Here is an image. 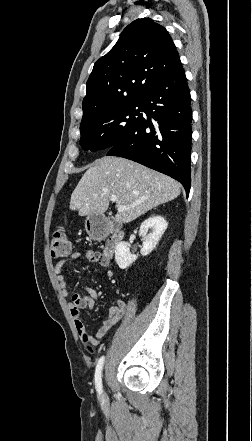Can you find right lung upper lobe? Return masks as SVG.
Here are the masks:
<instances>
[{
  "label": "right lung upper lobe",
  "mask_w": 252,
  "mask_h": 441,
  "mask_svg": "<svg viewBox=\"0 0 252 441\" xmlns=\"http://www.w3.org/2000/svg\"><path fill=\"white\" fill-rule=\"evenodd\" d=\"M180 62L168 31L150 18L129 24L114 47L96 61L86 85L82 122L141 100Z\"/></svg>",
  "instance_id": "obj_1"
}]
</instances>
